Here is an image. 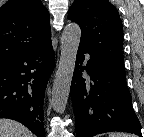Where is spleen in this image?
Masks as SVG:
<instances>
[{"label":"spleen","mask_w":144,"mask_h":137,"mask_svg":"<svg viewBox=\"0 0 144 137\" xmlns=\"http://www.w3.org/2000/svg\"><path fill=\"white\" fill-rule=\"evenodd\" d=\"M108 137H134V136L127 133L113 132L109 133Z\"/></svg>","instance_id":"obj_1"}]
</instances>
